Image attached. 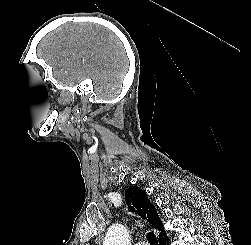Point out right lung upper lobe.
<instances>
[{"label":"right lung upper lobe","mask_w":251,"mask_h":245,"mask_svg":"<svg viewBox=\"0 0 251 245\" xmlns=\"http://www.w3.org/2000/svg\"><path fill=\"white\" fill-rule=\"evenodd\" d=\"M125 200L129 205V210L135 212V214L139 213V216L145 219L153 228L160 231L159 237L166 234L155 207L142 189L137 186H130L125 192Z\"/></svg>","instance_id":"1"}]
</instances>
